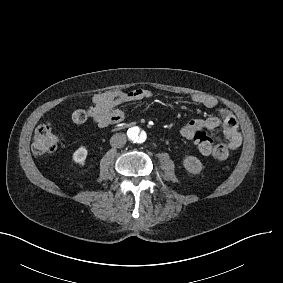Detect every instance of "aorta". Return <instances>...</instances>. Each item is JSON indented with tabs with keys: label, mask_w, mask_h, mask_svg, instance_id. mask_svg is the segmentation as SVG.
Instances as JSON below:
<instances>
[{
	"label": "aorta",
	"mask_w": 283,
	"mask_h": 283,
	"mask_svg": "<svg viewBox=\"0 0 283 283\" xmlns=\"http://www.w3.org/2000/svg\"><path fill=\"white\" fill-rule=\"evenodd\" d=\"M128 138L133 143H144L147 139V133L138 126H133L127 131Z\"/></svg>",
	"instance_id": "1"
}]
</instances>
